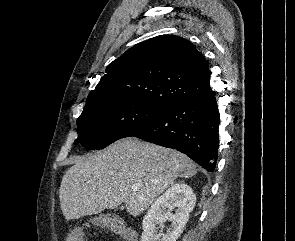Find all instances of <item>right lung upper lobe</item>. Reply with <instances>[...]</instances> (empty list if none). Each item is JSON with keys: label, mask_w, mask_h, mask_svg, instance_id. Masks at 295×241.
I'll use <instances>...</instances> for the list:
<instances>
[{"label": "right lung upper lobe", "mask_w": 295, "mask_h": 241, "mask_svg": "<svg viewBox=\"0 0 295 241\" xmlns=\"http://www.w3.org/2000/svg\"><path fill=\"white\" fill-rule=\"evenodd\" d=\"M90 92H115L143 104L165 108L210 89L206 59L188 40L160 35L136 44L106 68Z\"/></svg>", "instance_id": "obj_1"}]
</instances>
